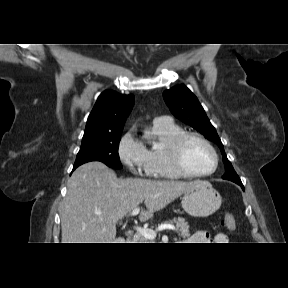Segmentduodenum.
<instances>
[{
	"mask_svg": "<svg viewBox=\"0 0 288 288\" xmlns=\"http://www.w3.org/2000/svg\"><path fill=\"white\" fill-rule=\"evenodd\" d=\"M119 241H121L120 243H130V240L128 238H121Z\"/></svg>",
	"mask_w": 288,
	"mask_h": 288,
	"instance_id": "410a0bca",
	"label": "duodenum"
}]
</instances>
